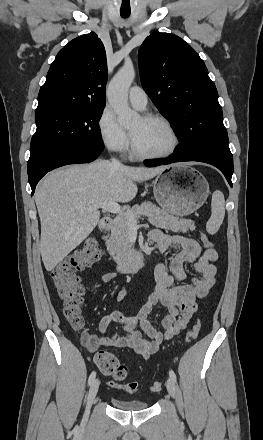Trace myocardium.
Returning a JSON list of instances; mask_svg holds the SVG:
<instances>
[{"label": "myocardium", "mask_w": 263, "mask_h": 440, "mask_svg": "<svg viewBox=\"0 0 263 440\" xmlns=\"http://www.w3.org/2000/svg\"><path fill=\"white\" fill-rule=\"evenodd\" d=\"M141 118L144 121H157V122L162 123L169 130V132L172 136V144H171V147L167 151L160 152V153H146V152L141 151L137 147L132 135L130 134L131 154L134 157L140 158V159H163V158H167V157L172 156L180 146V136H179L177 129L172 124V122L168 118H166L165 116L160 115V114H154V113L145 114V115L141 116Z\"/></svg>", "instance_id": "1"}]
</instances>
